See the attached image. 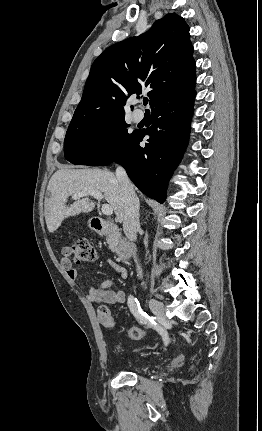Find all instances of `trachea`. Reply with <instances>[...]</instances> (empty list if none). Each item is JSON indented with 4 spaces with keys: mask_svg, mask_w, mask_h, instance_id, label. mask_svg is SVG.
Returning <instances> with one entry per match:
<instances>
[{
    "mask_svg": "<svg viewBox=\"0 0 262 431\" xmlns=\"http://www.w3.org/2000/svg\"><path fill=\"white\" fill-rule=\"evenodd\" d=\"M143 104L146 106L148 104V98L143 99Z\"/></svg>",
    "mask_w": 262,
    "mask_h": 431,
    "instance_id": "1",
    "label": "trachea"
}]
</instances>
